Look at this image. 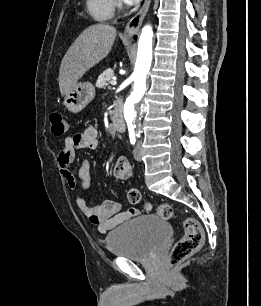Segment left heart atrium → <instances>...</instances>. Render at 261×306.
Returning <instances> with one entry per match:
<instances>
[{
    "instance_id": "left-heart-atrium-1",
    "label": "left heart atrium",
    "mask_w": 261,
    "mask_h": 306,
    "mask_svg": "<svg viewBox=\"0 0 261 306\" xmlns=\"http://www.w3.org/2000/svg\"><path fill=\"white\" fill-rule=\"evenodd\" d=\"M122 1L125 2L126 4H134L138 2L139 0H122Z\"/></svg>"
}]
</instances>
